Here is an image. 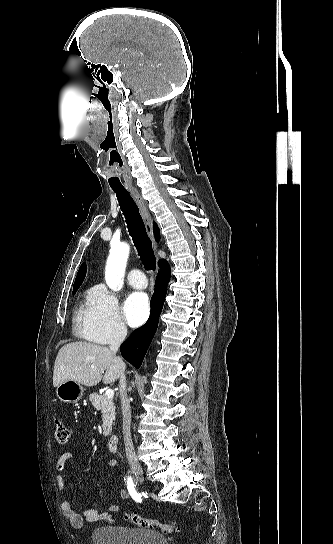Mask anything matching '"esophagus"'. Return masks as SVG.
I'll list each match as a JSON object with an SVG mask.
<instances>
[{
  "label": "esophagus",
  "instance_id": "34e87169",
  "mask_svg": "<svg viewBox=\"0 0 333 544\" xmlns=\"http://www.w3.org/2000/svg\"><path fill=\"white\" fill-rule=\"evenodd\" d=\"M130 192H131L136 204L138 205V208L140 210V214H141V216L143 218V221H144V224H145L146 232H147L148 236L150 237V239L152 240L154 250L156 251L157 250V244L155 242L154 235H153L152 218H151L150 213H149V211L147 209V205H146L145 201L143 200L142 196L140 195V193L138 192L137 189L132 188V189H130ZM156 273H157V275H159V273H160L159 268H157Z\"/></svg>",
  "mask_w": 333,
  "mask_h": 544
}]
</instances>
